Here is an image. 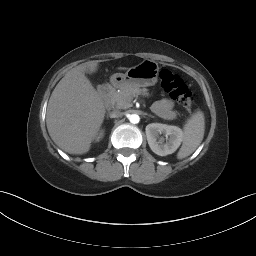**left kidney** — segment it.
<instances>
[{
  "mask_svg": "<svg viewBox=\"0 0 256 256\" xmlns=\"http://www.w3.org/2000/svg\"><path fill=\"white\" fill-rule=\"evenodd\" d=\"M145 130L151 150L160 156L174 153L184 138L183 131L177 126L151 123L146 126ZM161 134L166 136L165 143L164 138L160 137Z\"/></svg>",
  "mask_w": 256,
  "mask_h": 256,
  "instance_id": "5707ae66",
  "label": "left kidney"
}]
</instances>
